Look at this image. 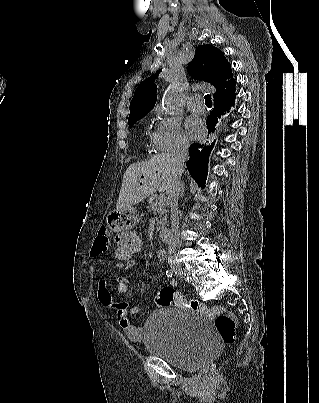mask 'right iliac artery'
Returning <instances> with one entry per match:
<instances>
[{"label": "right iliac artery", "instance_id": "obj_1", "mask_svg": "<svg viewBox=\"0 0 319 403\" xmlns=\"http://www.w3.org/2000/svg\"><path fill=\"white\" fill-rule=\"evenodd\" d=\"M166 275H167L168 277H172V275H173V270H167V271H166Z\"/></svg>", "mask_w": 319, "mask_h": 403}]
</instances>
